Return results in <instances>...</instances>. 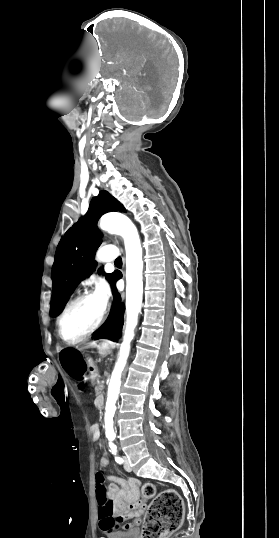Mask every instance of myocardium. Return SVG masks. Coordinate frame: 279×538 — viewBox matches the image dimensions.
<instances>
[{
    "label": "myocardium",
    "mask_w": 279,
    "mask_h": 538,
    "mask_svg": "<svg viewBox=\"0 0 279 538\" xmlns=\"http://www.w3.org/2000/svg\"><path fill=\"white\" fill-rule=\"evenodd\" d=\"M98 230L100 232H104L105 229L102 225L98 224ZM96 296V293L93 291V290H84L83 292H81L80 294H78L76 297H74L65 307L64 309L62 310V312L60 313V315L58 316L57 318V322H56V325H57V331H58V335L59 337L62 339L63 342H65L66 344L68 345H75V344H78V343H81L83 342L85 339H87L88 337H90L93 333H95L101 326V324L103 323L104 319H105V315H106V307L105 306H102L101 308V311L98 315V318L96 320V322L94 323V325L87 331L85 332L83 335H81L80 337H78L77 339H75L74 341H68L64 336H63V333H62V322H63V319L64 317L66 316V314L68 313V311L78 302H80L81 300L83 299H86V298H89V297H94Z\"/></svg>",
    "instance_id": "obj_1"
}]
</instances>
